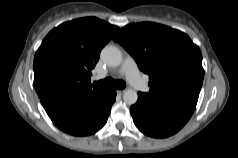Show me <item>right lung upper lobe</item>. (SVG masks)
Segmentation results:
<instances>
[{
    "instance_id": "right-lung-upper-lobe-1",
    "label": "right lung upper lobe",
    "mask_w": 238,
    "mask_h": 158,
    "mask_svg": "<svg viewBox=\"0 0 238 158\" xmlns=\"http://www.w3.org/2000/svg\"><path fill=\"white\" fill-rule=\"evenodd\" d=\"M119 28L95 17L65 22L43 40L34 57V86L49 92L88 93L102 88L90 84L100 51Z\"/></svg>"
}]
</instances>
